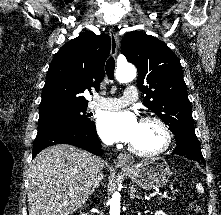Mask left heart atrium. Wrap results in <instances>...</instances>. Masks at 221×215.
Instances as JSON below:
<instances>
[{
	"mask_svg": "<svg viewBox=\"0 0 221 215\" xmlns=\"http://www.w3.org/2000/svg\"><path fill=\"white\" fill-rule=\"evenodd\" d=\"M139 122L130 112H110L100 114L97 121L99 134L106 142L131 143L138 131Z\"/></svg>",
	"mask_w": 221,
	"mask_h": 215,
	"instance_id": "39dd6f15",
	"label": "left heart atrium"
}]
</instances>
